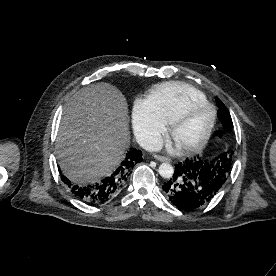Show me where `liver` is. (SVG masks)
Masks as SVG:
<instances>
[{
	"instance_id": "liver-1",
	"label": "liver",
	"mask_w": 276,
	"mask_h": 276,
	"mask_svg": "<svg viewBox=\"0 0 276 276\" xmlns=\"http://www.w3.org/2000/svg\"><path fill=\"white\" fill-rule=\"evenodd\" d=\"M130 141L127 102L108 83L80 89L66 103L56 149L64 174L78 184L107 175Z\"/></svg>"
}]
</instances>
